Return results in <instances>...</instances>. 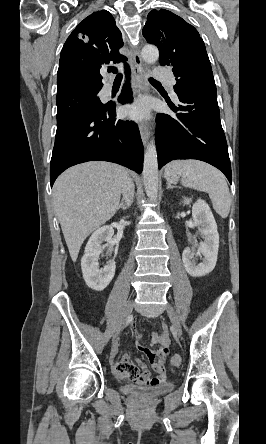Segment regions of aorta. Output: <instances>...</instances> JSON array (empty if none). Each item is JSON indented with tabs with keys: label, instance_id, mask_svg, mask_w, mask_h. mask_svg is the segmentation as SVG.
<instances>
[{
	"label": "aorta",
	"instance_id": "obj_1",
	"mask_svg": "<svg viewBox=\"0 0 266 444\" xmlns=\"http://www.w3.org/2000/svg\"><path fill=\"white\" fill-rule=\"evenodd\" d=\"M147 64H154L159 59V50L154 45H146L141 52ZM143 182L147 196L156 201L158 197V159L155 141L151 140L144 154Z\"/></svg>",
	"mask_w": 266,
	"mask_h": 444
}]
</instances>
